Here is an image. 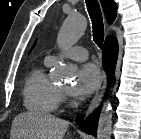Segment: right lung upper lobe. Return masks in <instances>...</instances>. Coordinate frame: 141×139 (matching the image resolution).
Here are the masks:
<instances>
[{"label": "right lung upper lobe", "instance_id": "obj_1", "mask_svg": "<svg viewBox=\"0 0 141 139\" xmlns=\"http://www.w3.org/2000/svg\"><path fill=\"white\" fill-rule=\"evenodd\" d=\"M106 19L109 24L113 23L117 14V6L114 0H101Z\"/></svg>", "mask_w": 141, "mask_h": 139}]
</instances>
